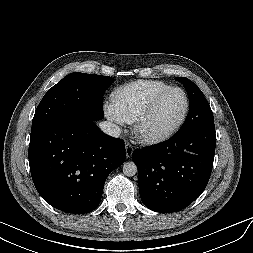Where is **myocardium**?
I'll return each mask as SVG.
<instances>
[{
	"label": "myocardium",
	"mask_w": 253,
	"mask_h": 253,
	"mask_svg": "<svg viewBox=\"0 0 253 253\" xmlns=\"http://www.w3.org/2000/svg\"><path fill=\"white\" fill-rule=\"evenodd\" d=\"M171 91H180L184 96L185 107L182 112V115L180 116V118L176 122V124L172 128H170L168 131L160 133V134H146L143 131L144 123L146 122V120L148 119L150 114L152 113L153 109L155 108V106L157 105L159 100ZM189 109H190V101H189V97H188L187 92L181 87L170 86V87L158 92L148 102V104L146 105V107L141 112V114L139 115L138 119L135 122L134 133H135L136 137L141 142H143L145 144H159V143L165 142V141L169 140L171 137H173L180 130V128L182 127V125L184 124V122L187 118V115L189 113Z\"/></svg>",
	"instance_id": "f54148a6"
}]
</instances>
